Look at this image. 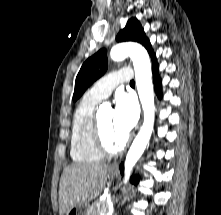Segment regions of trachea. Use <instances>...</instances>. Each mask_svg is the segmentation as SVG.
I'll use <instances>...</instances> for the list:
<instances>
[{"mask_svg":"<svg viewBox=\"0 0 221 215\" xmlns=\"http://www.w3.org/2000/svg\"><path fill=\"white\" fill-rule=\"evenodd\" d=\"M130 84H131V85H134V84H135L134 80H132V81L130 82Z\"/></svg>","mask_w":221,"mask_h":215,"instance_id":"3493384b","label":"trachea"}]
</instances>
